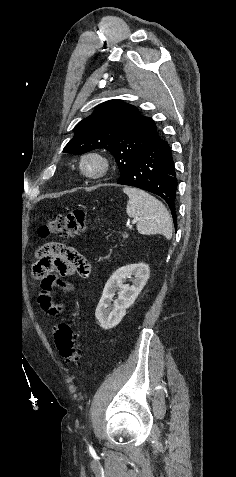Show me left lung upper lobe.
<instances>
[{
  "label": "left lung upper lobe",
  "mask_w": 236,
  "mask_h": 477,
  "mask_svg": "<svg viewBox=\"0 0 236 477\" xmlns=\"http://www.w3.org/2000/svg\"><path fill=\"white\" fill-rule=\"evenodd\" d=\"M75 135L63 152L83 154L104 148L112 153L125 178L133 159L155 137L154 121L140 114L139 110L123 100H109L97 106L87 118L74 128Z\"/></svg>",
  "instance_id": "obj_1"
}]
</instances>
